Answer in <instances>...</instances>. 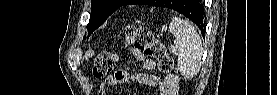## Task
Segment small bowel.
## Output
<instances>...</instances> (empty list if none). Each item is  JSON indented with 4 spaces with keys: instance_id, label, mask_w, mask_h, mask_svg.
Wrapping results in <instances>:
<instances>
[{
    "instance_id": "1",
    "label": "small bowel",
    "mask_w": 277,
    "mask_h": 95,
    "mask_svg": "<svg viewBox=\"0 0 277 95\" xmlns=\"http://www.w3.org/2000/svg\"><path fill=\"white\" fill-rule=\"evenodd\" d=\"M130 53L136 60L142 62L143 67L146 70L144 73L135 76V79L147 85L155 84L157 79V76L154 74L156 68L155 61L149 58L145 53L135 49H131ZM126 80L127 72L123 69H119L114 74L108 76L105 81L100 84L98 93L101 95H108L107 85H118L124 83ZM177 81V76L169 75L164 77L160 85V94L176 95Z\"/></svg>"
}]
</instances>
